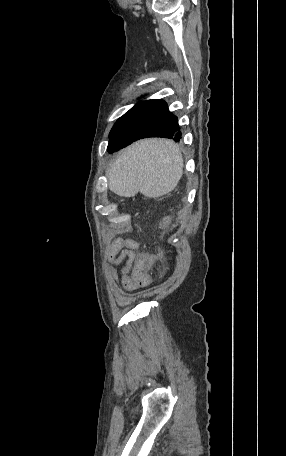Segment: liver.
<instances>
[{"label":"liver","mask_w":286,"mask_h":456,"mask_svg":"<svg viewBox=\"0 0 286 456\" xmlns=\"http://www.w3.org/2000/svg\"><path fill=\"white\" fill-rule=\"evenodd\" d=\"M183 174L179 147L166 139H144L119 155L108 171L109 189L121 197L138 192L158 198L173 191Z\"/></svg>","instance_id":"1"}]
</instances>
